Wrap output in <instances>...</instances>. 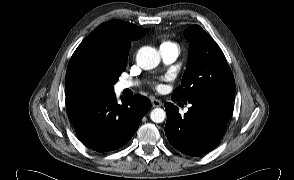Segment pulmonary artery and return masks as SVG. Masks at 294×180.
<instances>
[{
  "label": "pulmonary artery",
  "mask_w": 294,
  "mask_h": 180,
  "mask_svg": "<svg viewBox=\"0 0 294 180\" xmlns=\"http://www.w3.org/2000/svg\"><path fill=\"white\" fill-rule=\"evenodd\" d=\"M161 57L166 64H172L176 61L179 55V50L175 46L165 47L160 49ZM134 86V83L130 81H122L120 83L121 89H128ZM187 110V109H186Z\"/></svg>",
  "instance_id": "e3ab8cb5"
}]
</instances>
